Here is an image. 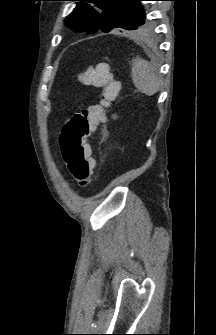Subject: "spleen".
<instances>
[{
    "label": "spleen",
    "mask_w": 216,
    "mask_h": 335,
    "mask_svg": "<svg viewBox=\"0 0 216 335\" xmlns=\"http://www.w3.org/2000/svg\"><path fill=\"white\" fill-rule=\"evenodd\" d=\"M131 77L134 86L147 96H152L160 89V80L150 63L140 57L132 61Z\"/></svg>",
    "instance_id": "obj_1"
}]
</instances>
